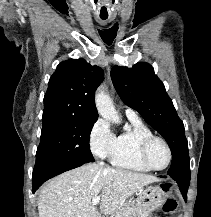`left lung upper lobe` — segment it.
Segmentation results:
<instances>
[{
    "instance_id": "1",
    "label": "left lung upper lobe",
    "mask_w": 211,
    "mask_h": 217,
    "mask_svg": "<svg viewBox=\"0 0 211 217\" xmlns=\"http://www.w3.org/2000/svg\"><path fill=\"white\" fill-rule=\"evenodd\" d=\"M111 79L123 102L137 110L167 141L172 151L168 176L190 178L184 125L153 67L145 62L137 63L132 68L114 66Z\"/></svg>"
}]
</instances>
